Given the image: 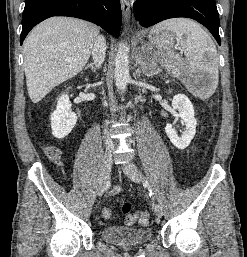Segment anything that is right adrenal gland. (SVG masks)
Here are the masks:
<instances>
[{
    "instance_id": "1",
    "label": "right adrenal gland",
    "mask_w": 247,
    "mask_h": 257,
    "mask_svg": "<svg viewBox=\"0 0 247 257\" xmlns=\"http://www.w3.org/2000/svg\"><path fill=\"white\" fill-rule=\"evenodd\" d=\"M90 68L92 70V72H95L96 71V67L94 65V63H88L85 67V69H88Z\"/></svg>"
}]
</instances>
